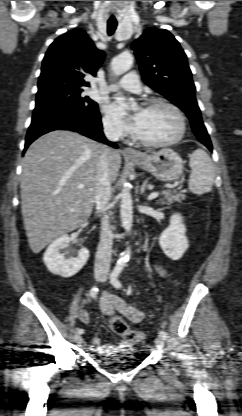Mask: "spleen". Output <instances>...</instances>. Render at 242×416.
<instances>
[{
    "mask_svg": "<svg viewBox=\"0 0 242 416\" xmlns=\"http://www.w3.org/2000/svg\"><path fill=\"white\" fill-rule=\"evenodd\" d=\"M191 174L188 187L194 194L211 191L214 183V167L209 155L202 149L195 150L189 161Z\"/></svg>",
    "mask_w": 242,
    "mask_h": 416,
    "instance_id": "obj_1",
    "label": "spleen"
}]
</instances>
